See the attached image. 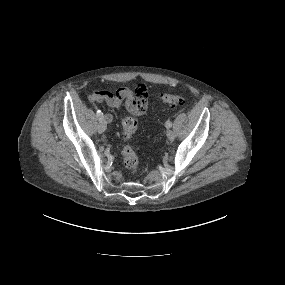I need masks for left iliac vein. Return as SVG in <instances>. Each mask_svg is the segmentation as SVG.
<instances>
[{
	"label": "left iliac vein",
	"mask_w": 285,
	"mask_h": 285,
	"mask_svg": "<svg viewBox=\"0 0 285 285\" xmlns=\"http://www.w3.org/2000/svg\"><path fill=\"white\" fill-rule=\"evenodd\" d=\"M167 138L170 140V141H173L175 139V133L172 131V130H168L167 131Z\"/></svg>",
	"instance_id": "4c4485c4"
}]
</instances>
